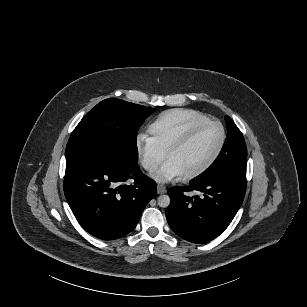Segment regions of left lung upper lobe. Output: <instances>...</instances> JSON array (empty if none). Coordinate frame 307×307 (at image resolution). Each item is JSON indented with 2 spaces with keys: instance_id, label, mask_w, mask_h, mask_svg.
<instances>
[{
  "instance_id": "obj_1",
  "label": "left lung upper lobe",
  "mask_w": 307,
  "mask_h": 307,
  "mask_svg": "<svg viewBox=\"0 0 307 307\" xmlns=\"http://www.w3.org/2000/svg\"><path fill=\"white\" fill-rule=\"evenodd\" d=\"M227 137L214 163L190 182H199L220 175H235L245 178L247 148L244 137L233 120L225 117Z\"/></svg>"
}]
</instances>
